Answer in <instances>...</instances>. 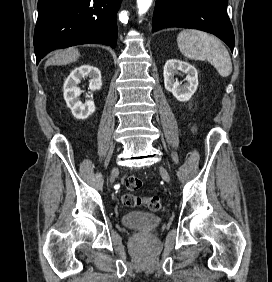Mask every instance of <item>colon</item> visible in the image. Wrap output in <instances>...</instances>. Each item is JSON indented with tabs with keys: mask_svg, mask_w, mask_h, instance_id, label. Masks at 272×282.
I'll use <instances>...</instances> for the list:
<instances>
[{
	"mask_svg": "<svg viewBox=\"0 0 272 282\" xmlns=\"http://www.w3.org/2000/svg\"><path fill=\"white\" fill-rule=\"evenodd\" d=\"M126 187L132 192L138 191L142 187V181L138 177L130 176L126 179ZM122 203L125 207H135L142 204L151 212H158L162 208V201L156 196L138 197L126 194L122 197Z\"/></svg>",
	"mask_w": 272,
	"mask_h": 282,
	"instance_id": "obj_1",
	"label": "colon"
}]
</instances>
